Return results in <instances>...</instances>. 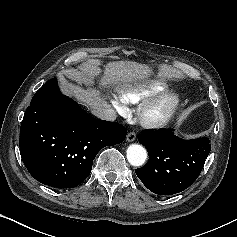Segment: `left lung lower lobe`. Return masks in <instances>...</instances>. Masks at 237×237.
Here are the masks:
<instances>
[{
	"label": "left lung lower lobe",
	"mask_w": 237,
	"mask_h": 237,
	"mask_svg": "<svg viewBox=\"0 0 237 237\" xmlns=\"http://www.w3.org/2000/svg\"><path fill=\"white\" fill-rule=\"evenodd\" d=\"M149 160L135 172L158 195H172L188 188L201 173L211 145L206 137L183 140L173 129L144 130L138 136Z\"/></svg>",
	"instance_id": "0a47b994"
}]
</instances>
